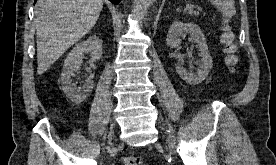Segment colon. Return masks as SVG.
I'll return each instance as SVG.
<instances>
[{
	"label": "colon",
	"mask_w": 276,
	"mask_h": 165,
	"mask_svg": "<svg viewBox=\"0 0 276 165\" xmlns=\"http://www.w3.org/2000/svg\"><path fill=\"white\" fill-rule=\"evenodd\" d=\"M221 42L224 46V52L226 55V63L231 69H235L239 62L237 54V46L235 43V35L230 26L225 25L222 29ZM124 165H143V161L140 157L129 155L123 160Z\"/></svg>",
	"instance_id": "1"
}]
</instances>
